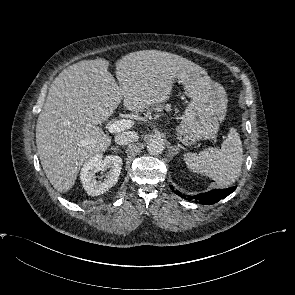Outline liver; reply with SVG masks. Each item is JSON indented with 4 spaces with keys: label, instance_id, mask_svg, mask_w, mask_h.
Instances as JSON below:
<instances>
[{
    "label": "liver",
    "instance_id": "liver-1",
    "mask_svg": "<svg viewBox=\"0 0 295 295\" xmlns=\"http://www.w3.org/2000/svg\"><path fill=\"white\" fill-rule=\"evenodd\" d=\"M105 59L83 60L52 82L36 125V144L43 170L59 192H68L83 163L105 152L111 137L97 124L123 101L135 112L149 111L169 99L175 80L206 74L179 55L158 50L129 53L116 63L117 82Z\"/></svg>",
    "mask_w": 295,
    "mask_h": 295
}]
</instances>
